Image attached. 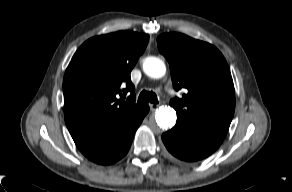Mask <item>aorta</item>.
I'll use <instances>...</instances> for the list:
<instances>
[{
  "mask_svg": "<svg viewBox=\"0 0 292 192\" xmlns=\"http://www.w3.org/2000/svg\"><path fill=\"white\" fill-rule=\"evenodd\" d=\"M144 73L151 78H161L166 72L165 63L158 57L149 56L143 62ZM177 116L174 109L163 107L156 111L155 122L162 129L171 128L176 122ZM155 122H150V127H156Z\"/></svg>",
  "mask_w": 292,
  "mask_h": 192,
  "instance_id": "obj_1",
  "label": "aorta"
}]
</instances>
